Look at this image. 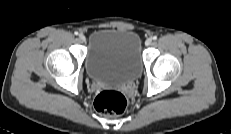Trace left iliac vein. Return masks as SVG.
Masks as SVG:
<instances>
[{"mask_svg":"<svg viewBox=\"0 0 231 134\" xmlns=\"http://www.w3.org/2000/svg\"><path fill=\"white\" fill-rule=\"evenodd\" d=\"M151 44H152V39H151V38L146 39L145 45H146V46H149V45H151Z\"/></svg>","mask_w":231,"mask_h":134,"instance_id":"4c4485c4","label":"left iliac vein"}]
</instances>
